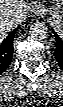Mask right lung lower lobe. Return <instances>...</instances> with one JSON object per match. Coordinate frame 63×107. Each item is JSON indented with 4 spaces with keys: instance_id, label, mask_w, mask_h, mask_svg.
Instances as JSON below:
<instances>
[{
    "instance_id": "obj_1",
    "label": "right lung lower lobe",
    "mask_w": 63,
    "mask_h": 107,
    "mask_svg": "<svg viewBox=\"0 0 63 107\" xmlns=\"http://www.w3.org/2000/svg\"><path fill=\"white\" fill-rule=\"evenodd\" d=\"M18 29L19 26L0 44V74L8 68L12 60L13 39Z\"/></svg>"
}]
</instances>
